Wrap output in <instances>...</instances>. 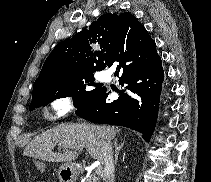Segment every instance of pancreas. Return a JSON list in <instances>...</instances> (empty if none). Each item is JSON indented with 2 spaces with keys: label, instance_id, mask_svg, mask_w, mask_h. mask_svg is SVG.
<instances>
[{
  "label": "pancreas",
  "instance_id": "cf45deb5",
  "mask_svg": "<svg viewBox=\"0 0 211 182\" xmlns=\"http://www.w3.org/2000/svg\"><path fill=\"white\" fill-rule=\"evenodd\" d=\"M80 182H100V179L96 176L95 173H92L87 177H81Z\"/></svg>",
  "mask_w": 211,
  "mask_h": 182
}]
</instances>
